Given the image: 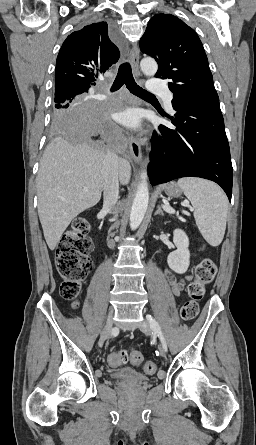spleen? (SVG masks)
Segmentation results:
<instances>
[{
	"label": "spleen",
	"instance_id": "obj_1",
	"mask_svg": "<svg viewBox=\"0 0 256 445\" xmlns=\"http://www.w3.org/2000/svg\"><path fill=\"white\" fill-rule=\"evenodd\" d=\"M178 186L191 202L197 227L211 246H218L225 234L228 199L215 183L200 178H181Z\"/></svg>",
	"mask_w": 256,
	"mask_h": 445
}]
</instances>
